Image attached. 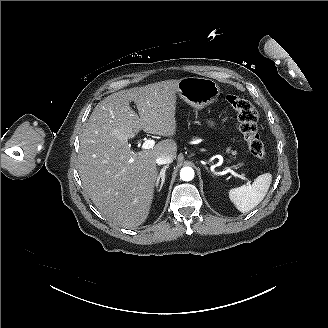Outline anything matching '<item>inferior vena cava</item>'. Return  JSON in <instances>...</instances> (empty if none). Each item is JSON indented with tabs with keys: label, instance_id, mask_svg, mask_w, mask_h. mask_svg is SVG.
<instances>
[{
	"label": "inferior vena cava",
	"instance_id": "1",
	"mask_svg": "<svg viewBox=\"0 0 328 328\" xmlns=\"http://www.w3.org/2000/svg\"><path fill=\"white\" fill-rule=\"evenodd\" d=\"M173 162V158L169 155H163V156H159L156 159V163L158 165H164V164H169Z\"/></svg>",
	"mask_w": 328,
	"mask_h": 328
}]
</instances>
